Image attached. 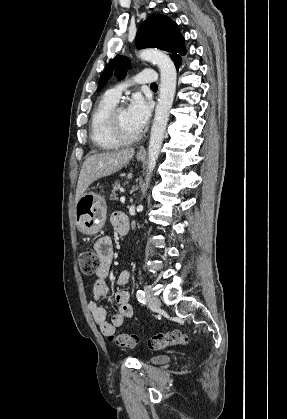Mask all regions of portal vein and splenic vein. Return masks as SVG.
<instances>
[{"instance_id": "1", "label": "portal vein and splenic vein", "mask_w": 287, "mask_h": 419, "mask_svg": "<svg viewBox=\"0 0 287 419\" xmlns=\"http://www.w3.org/2000/svg\"><path fill=\"white\" fill-rule=\"evenodd\" d=\"M120 201L124 202L125 201V196H121Z\"/></svg>"}]
</instances>
